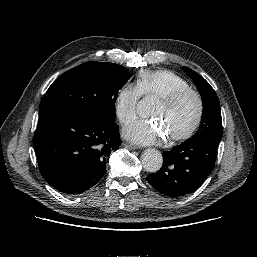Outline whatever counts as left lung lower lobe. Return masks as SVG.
<instances>
[{
  "label": "left lung lower lobe",
  "instance_id": "left-lung-lower-lobe-1",
  "mask_svg": "<svg viewBox=\"0 0 257 257\" xmlns=\"http://www.w3.org/2000/svg\"><path fill=\"white\" fill-rule=\"evenodd\" d=\"M219 142L187 139L163 153L162 168L147 181L162 194L181 197L198 189L214 169Z\"/></svg>",
  "mask_w": 257,
  "mask_h": 257
}]
</instances>
